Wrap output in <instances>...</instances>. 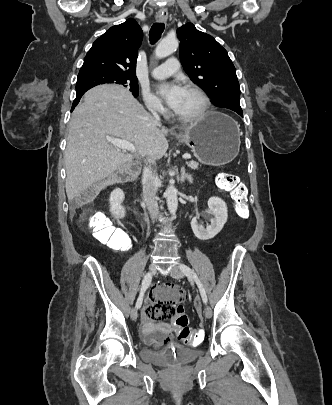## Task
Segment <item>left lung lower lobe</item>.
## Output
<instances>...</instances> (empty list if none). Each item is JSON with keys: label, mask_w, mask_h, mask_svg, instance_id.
<instances>
[{"label": "left lung lower lobe", "mask_w": 332, "mask_h": 405, "mask_svg": "<svg viewBox=\"0 0 332 405\" xmlns=\"http://www.w3.org/2000/svg\"><path fill=\"white\" fill-rule=\"evenodd\" d=\"M235 112H237V113H238L239 115H241V116H242V114H243L241 107H239L238 109H236Z\"/></svg>", "instance_id": "0a47b994"}]
</instances>
